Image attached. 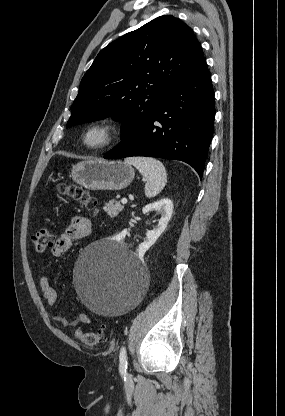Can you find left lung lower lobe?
I'll return each instance as SVG.
<instances>
[{
	"instance_id": "1",
	"label": "left lung lower lobe",
	"mask_w": 285,
	"mask_h": 416,
	"mask_svg": "<svg viewBox=\"0 0 285 416\" xmlns=\"http://www.w3.org/2000/svg\"><path fill=\"white\" fill-rule=\"evenodd\" d=\"M214 117V90L203 58L149 118L104 158L145 156L181 160L191 165L202 178L213 136Z\"/></svg>"
}]
</instances>
